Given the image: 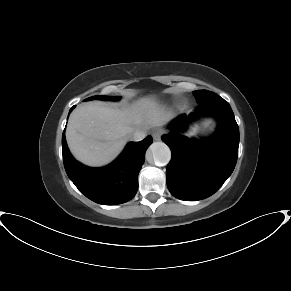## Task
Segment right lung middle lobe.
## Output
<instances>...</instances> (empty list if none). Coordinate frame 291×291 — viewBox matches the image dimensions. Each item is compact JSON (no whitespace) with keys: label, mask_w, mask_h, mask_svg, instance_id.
I'll use <instances>...</instances> for the list:
<instances>
[{"label":"right lung middle lobe","mask_w":291,"mask_h":291,"mask_svg":"<svg viewBox=\"0 0 291 291\" xmlns=\"http://www.w3.org/2000/svg\"><path fill=\"white\" fill-rule=\"evenodd\" d=\"M91 99L119 100L120 97L119 96H93V97L88 98L87 100H91Z\"/></svg>","instance_id":"dd1d6c3e"}]
</instances>
